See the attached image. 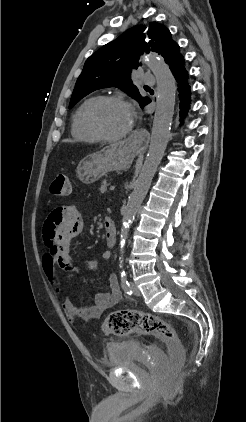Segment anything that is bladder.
<instances>
[{
	"mask_svg": "<svg viewBox=\"0 0 246 422\" xmlns=\"http://www.w3.org/2000/svg\"><path fill=\"white\" fill-rule=\"evenodd\" d=\"M108 365L114 368H125L136 363L142 352V346L136 339H124L111 342L106 347ZM153 360L158 367L164 368L167 364L166 354L158 348L151 351Z\"/></svg>",
	"mask_w": 246,
	"mask_h": 422,
	"instance_id": "obj_1",
	"label": "bladder"
}]
</instances>
